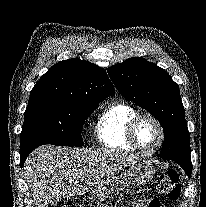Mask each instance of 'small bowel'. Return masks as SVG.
Wrapping results in <instances>:
<instances>
[{"mask_svg": "<svg viewBox=\"0 0 206 207\" xmlns=\"http://www.w3.org/2000/svg\"><path fill=\"white\" fill-rule=\"evenodd\" d=\"M148 200L142 199L133 203V207H148Z\"/></svg>", "mask_w": 206, "mask_h": 207, "instance_id": "1", "label": "small bowel"}]
</instances>
